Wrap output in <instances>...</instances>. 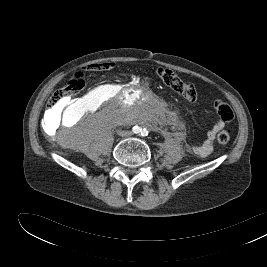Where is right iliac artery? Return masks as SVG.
<instances>
[{"label": "right iliac artery", "instance_id": "1", "mask_svg": "<svg viewBox=\"0 0 267 267\" xmlns=\"http://www.w3.org/2000/svg\"><path fill=\"white\" fill-rule=\"evenodd\" d=\"M132 130H133V132L136 133V134L142 132V129H141L140 127H138V126H134Z\"/></svg>", "mask_w": 267, "mask_h": 267}]
</instances>
